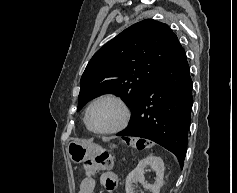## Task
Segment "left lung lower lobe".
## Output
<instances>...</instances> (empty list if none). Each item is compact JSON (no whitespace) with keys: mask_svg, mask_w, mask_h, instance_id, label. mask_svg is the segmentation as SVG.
Segmentation results:
<instances>
[{"mask_svg":"<svg viewBox=\"0 0 237 193\" xmlns=\"http://www.w3.org/2000/svg\"><path fill=\"white\" fill-rule=\"evenodd\" d=\"M192 104L189 65L180 45L148 87L129 126L117 136L152 140L174 153L183 167Z\"/></svg>","mask_w":237,"mask_h":193,"instance_id":"left-lung-lower-lobe-1","label":"left lung lower lobe"}]
</instances>
